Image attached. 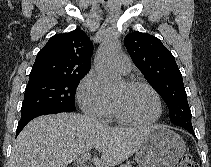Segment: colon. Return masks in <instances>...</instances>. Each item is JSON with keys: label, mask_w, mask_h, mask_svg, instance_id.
<instances>
[{"label": "colon", "mask_w": 211, "mask_h": 167, "mask_svg": "<svg viewBox=\"0 0 211 167\" xmlns=\"http://www.w3.org/2000/svg\"><path fill=\"white\" fill-rule=\"evenodd\" d=\"M177 167H198V166L192 155L186 154L182 157Z\"/></svg>", "instance_id": "1"}]
</instances>
